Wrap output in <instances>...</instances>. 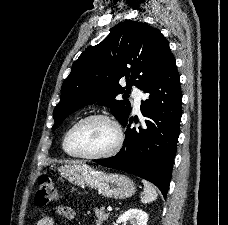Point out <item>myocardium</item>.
<instances>
[{"mask_svg":"<svg viewBox=\"0 0 228 225\" xmlns=\"http://www.w3.org/2000/svg\"><path fill=\"white\" fill-rule=\"evenodd\" d=\"M92 119H99L102 120L106 123H108L114 130L115 133V143L114 145L106 152L101 153V154H74L69 151L68 149V138L69 135L76 129L81 123L87 121V120H92ZM63 150L65 153L73 158H79V159H88V160H100V159H105L114 156L117 154L122 146H123V133L121 130L120 125L116 120L111 118L108 115L105 114H100V113H93V114H87L82 117H80L78 120H76L65 132L64 137H63Z\"/></svg>","mask_w":228,"mask_h":225,"instance_id":"myocardium-1","label":"myocardium"}]
</instances>
